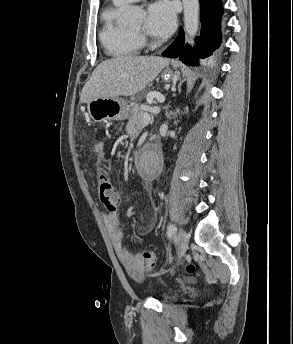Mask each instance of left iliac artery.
<instances>
[{
    "instance_id": "44dca946",
    "label": "left iliac artery",
    "mask_w": 293,
    "mask_h": 344,
    "mask_svg": "<svg viewBox=\"0 0 293 344\" xmlns=\"http://www.w3.org/2000/svg\"><path fill=\"white\" fill-rule=\"evenodd\" d=\"M176 230L177 228L173 224H170L167 229L168 237L171 238L175 234Z\"/></svg>"
}]
</instances>
